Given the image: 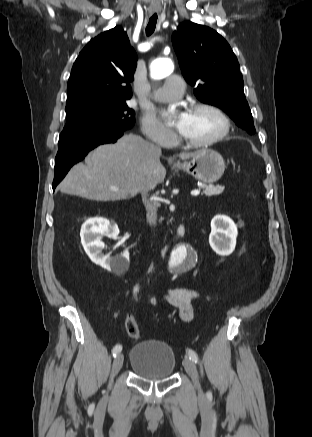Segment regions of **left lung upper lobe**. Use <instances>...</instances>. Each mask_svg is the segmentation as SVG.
Segmentation results:
<instances>
[{
    "mask_svg": "<svg viewBox=\"0 0 312 437\" xmlns=\"http://www.w3.org/2000/svg\"><path fill=\"white\" fill-rule=\"evenodd\" d=\"M184 78L203 103L224 110L249 134L255 133L238 60L215 30L186 21L172 35Z\"/></svg>",
    "mask_w": 312,
    "mask_h": 437,
    "instance_id": "left-lung-upper-lobe-1",
    "label": "left lung upper lobe"
}]
</instances>
